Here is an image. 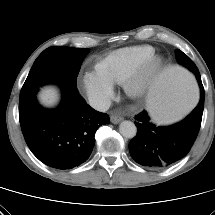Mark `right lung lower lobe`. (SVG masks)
<instances>
[{
  "label": "right lung lower lobe",
  "mask_w": 215,
  "mask_h": 215,
  "mask_svg": "<svg viewBox=\"0 0 215 215\" xmlns=\"http://www.w3.org/2000/svg\"><path fill=\"white\" fill-rule=\"evenodd\" d=\"M62 92L57 108L37 104L32 115L20 124L32 153L44 164L65 170L89 158L95 132L109 123V116L90 107L79 95L76 84L62 88Z\"/></svg>",
  "instance_id": "1"
}]
</instances>
